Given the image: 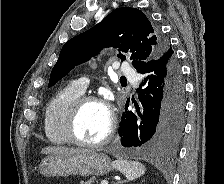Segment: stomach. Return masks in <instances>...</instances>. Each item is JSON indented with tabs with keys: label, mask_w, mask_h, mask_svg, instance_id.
I'll list each match as a JSON object with an SVG mask.
<instances>
[{
	"label": "stomach",
	"mask_w": 224,
	"mask_h": 184,
	"mask_svg": "<svg viewBox=\"0 0 224 184\" xmlns=\"http://www.w3.org/2000/svg\"><path fill=\"white\" fill-rule=\"evenodd\" d=\"M113 168V163L106 154L92 151L48 156L39 165V171L45 177L101 176L112 171Z\"/></svg>",
	"instance_id": "stomach-1"
}]
</instances>
